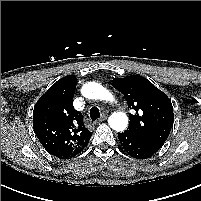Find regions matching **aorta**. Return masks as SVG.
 I'll return each mask as SVG.
<instances>
[{
  "label": "aorta",
  "mask_w": 201,
  "mask_h": 201,
  "mask_svg": "<svg viewBox=\"0 0 201 201\" xmlns=\"http://www.w3.org/2000/svg\"><path fill=\"white\" fill-rule=\"evenodd\" d=\"M82 95L88 99L102 100L113 102L112 94L102 85L95 82H88L83 85L81 89ZM110 127L117 131L122 132L128 126V117L124 112H114L108 119Z\"/></svg>",
  "instance_id": "obj_1"
}]
</instances>
